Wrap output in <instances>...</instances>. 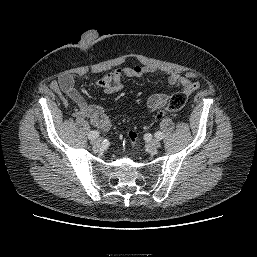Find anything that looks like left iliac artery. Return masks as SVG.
Segmentation results:
<instances>
[{"mask_svg":"<svg viewBox=\"0 0 257 257\" xmlns=\"http://www.w3.org/2000/svg\"><path fill=\"white\" fill-rule=\"evenodd\" d=\"M155 137L161 140L163 138V134L160 131H158L155 133Z\"/></svg>","mask_w":257,"mask_h":257,"instance_id":"1","label":"left iliac artery"}]
</instances>
